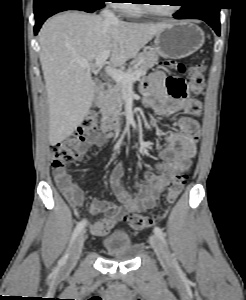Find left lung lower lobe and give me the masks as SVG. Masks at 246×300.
Here are the masks:
<instances>
[{
  "label": "left lung lower lobe",
  "mask_w": 246,
  "mask_h": 300,
  "mask_svg": "<svg viewBox=\"0 0 246 300\" xmlns=\"http://www.w3.org/2000/svg\"><path fill=\"white\" fill-rule=\"evenodd\" d=\"M220 7L215 0H189L174 14V18H196L207 22L220 35Z\"/></svg>",
  "instance_id": "0a47b994"
}]
</instances>
